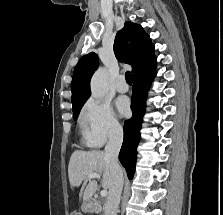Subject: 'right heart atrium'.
<instances>
[{"instance_id": "1", "label": "right heart atrium", "mask_w": 223, "mask_h": 215, "mask_svg": "<svg viewBox=\"0 0 223 215\" xmlns=\"http://www.w3.org/2000/svg\"><path fill=\"white\" fill-rule=\"evenodd\" d=\"M80 124L88 141L98 145L122 132L121 124L110 105L96 99H89L83 106Z\"/></svg>"}]
</instances>
